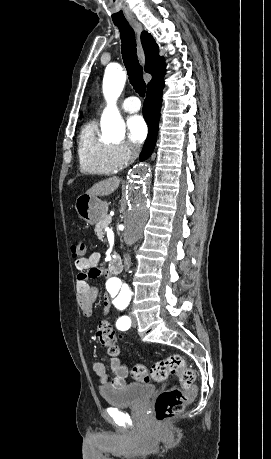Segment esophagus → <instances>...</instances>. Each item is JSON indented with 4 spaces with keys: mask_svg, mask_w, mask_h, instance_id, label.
Listing matches in <instances>:
<instances>
[{
    "mask_svg": "<svg viewBox=\"0 0 271 459\" xmlns=\"http://www.w3.org/2000/svg\"><path fill=\"white\" fill-rule=\"evenodd\" d=\"M131 25L133 26L134 30L137 33V49L138 50L135 52V55L137 56V59L139 61L144 62V53H143V49H142V45H141V41H140V34L142 32V25L139 22H133V23H131Z\"/></svg>",
    "mask_w": 271,
    "mask_h": 459,
    "instance_id": "1",
    "label": "esophagus"
}]
</instances>
